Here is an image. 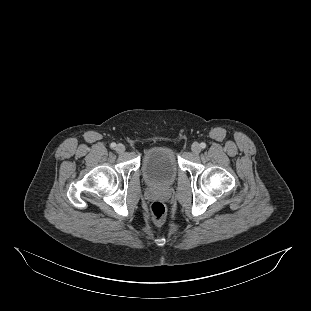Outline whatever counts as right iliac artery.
<instances>
[{
	"label": "right iliac artery",
	"mask_w": 311,
	"mask_h": 311,
	"mask_svg": "<svg viewBox=\"0 0 311 311\" xmlns=\"http://www.w3.org/2000/svg\"><path fill=\"white\" fill-rule=\"evenodd\" d=\"M110 147L114 149V148L116 147V143H114V142L111 143V144H110Z\"/></svg>",
	"instance_id": "1"
}]
</instances>
